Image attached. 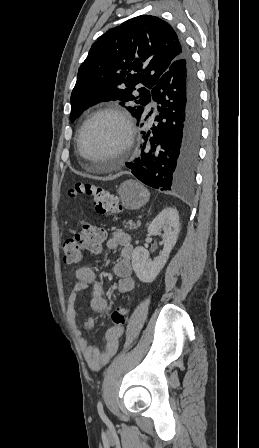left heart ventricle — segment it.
Here are the masks:
<instances>
[{
    "mask_svg": "<svg viewBox=\"0 0 259 448\" xmlns=\"http://www.w3.org/2000/svg\"><path fill=\"white\" fill-rule=\"evenodd\" d=\"M122 135L123 125L114 116H101L92 121L82 136V162H106L113 158L112 149Z\"/></svg>",
    "mask_w": 259,
    "mask_h": 448,
    "instance_id": "b2bd125f",
    "label": "left heart ventricle"
}]
</instances>
